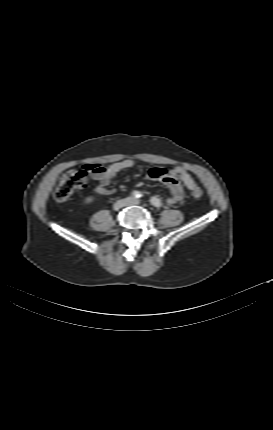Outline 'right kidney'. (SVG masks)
Here are the masks:
<instances>
[{"instance_id":"right-kidney-1","label":"right kidney","mask_w":273,"mask_h":430,"mask_svg":"<svg viewBox=\"0 0 273 430\" xmlns=\"http://www.w3.org/2000/svg\"><path fill=\"white\" fill-rule=\"evenodd\" d=\"M93 200H94V196H88L84 198L83 203L90 204L91 202H93Z\"/></svg>"}]
</instances>
